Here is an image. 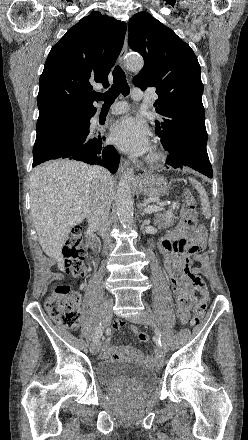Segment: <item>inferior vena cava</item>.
I'll list each match as a JSON object with an SVG mask.
<instances>
[{
    "mask_svg": "<svg viewBox=\"0 0 248 440\" xmlns=\"http://www.w3.org/2000/svg\"><path fill=\"white\" fill-rule=\"evenodd\" d=\"M92 174L100 187L93 198L87 221L89 228L101 235L104 245L107 247L110 243L108 219L111 205L108 186L112 182V177L107 169L99 166L92 169Z\"/></svg>",
    "mask_w": 248,
    "mask_h": 440,
    "instance_id": "inferior-vena-cava-1",
    "label": "inferior vena cava"
}]
</instances>
